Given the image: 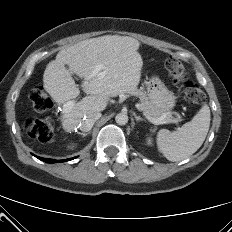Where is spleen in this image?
Returning <instances> with one entry per match:
<instances>
[{
	"label": "spleen",
	"mask_w": 232,
	"mask_h": 232,
	"mask_svg": "<svg viewBox=\"0 0 232 232\" xmlns=\"http://www.w3.org/2000/svg\"><path fill=\"white\" fill-rule=\"evenodd\" d=\"M209 127L210 109L204 104L193 119L178 130H159L156 138L158 150L172 162L186 159L201 147Z\"/></svg>",
	"instance_id": "spleen-1"
}]
</instances>
